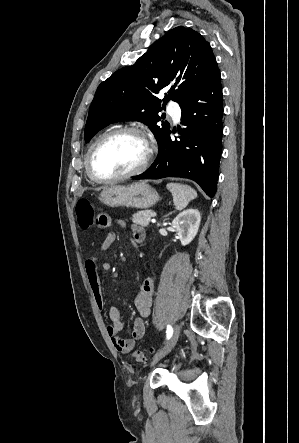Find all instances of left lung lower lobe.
Returning a JSON list of instances; mask_svg holds the SVG:
<instances>
[{
    "mask_svg": "<svg viewBox=\"0 0 299 443\" xmlns=\"http://www.w3.org/2000/svg\"><path fill=\"white\" fill-rule=\"evenodd\" d=\"M223 94L216 61L205 78L179 104L181 123L176 139L168 131L149 169L133 179L184 177L197 182L207 195L216 192L221 157Z\"/></svg>",
    "mask_w": 299,
    "mask_h": 443,
    "instance_id": "obj_1",
    "label": "left lung lower lobe"
}]
</instances>
